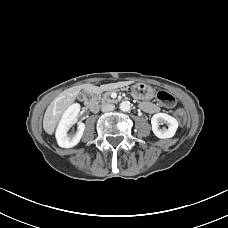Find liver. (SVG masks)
<instances>
[{
    "mask_svg": "<svg viewBox=\"0 0 228 228\" xmlns=\"http://www.w3.org/2000/svg\"><path fill=\"white\" fill-rule=\"evenodd\" d=\"M131 82H119L115 84L103 85L101 87L92 84H82L68 88L61 92L47 107L43 118V128L45 132L52 135L62 118L64 112L72 105L81 90L90 94H98L103 90L130 84Z\"/></svg>",
    "mask_w": 228,
    "mask_h": 228,
    "instance_id": "6515ba94",
    "label": "liver"
}]
</instances>
